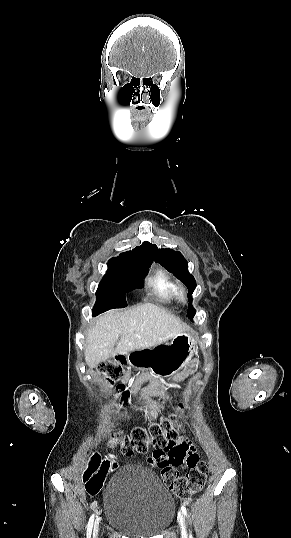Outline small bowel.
<instances>
[{
  "label": "small bowel",
  "instance_id": "c3829d8e",
  "mask_svg": "<svg viewBox=\"0 0 291 538\" xmlns=\"http://www.w3.org/2000/svg\"><path fill=\"white\" fill-rule=\"evenodd\" d=\"M199 372V367L196 360H191L190 363H184L180 366V371L175 372V377L178 382H181L185 379L187 374L192 376L197 375ZM145 376H137L131 378L129 374H126L123 378V384H131L135 395L137 396L138 407L148 416L149 418H155L163 410L164 405L154 402L152 396H164L169 400L172 395L169 393V389H174L178 387V384L171 380L159 381L157 379H152L151 383L141 389V384L146 381ZM180 442H186L189 447L195 451V447L192 442L185 438L179 437ZM152 462V459H149Z\"/></svg>",
  "mask_w": 291,
  "mask_h": 538
}]
</instances>
